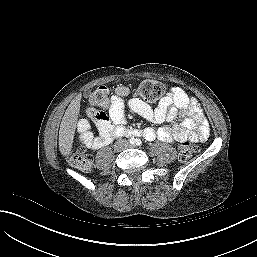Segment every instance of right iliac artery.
Segmentation results:
<instances>
[{
	"mask_svg": "<svg viewBox=\"0 0 257 257\" xmlns=\"http://www.w3.org/2000/svg\"><path fill=\"white\" fill-rule=\"evenodd\" d=\"M129 142H130V144H134V143H135L134 138H131V139L129 140Z\"/></svg>",
	"mask_w": 257,
	"mask_h": 257,
	"instance_id": "82829eb1",
	"label": "right iliac artery"
}]
</instances>
